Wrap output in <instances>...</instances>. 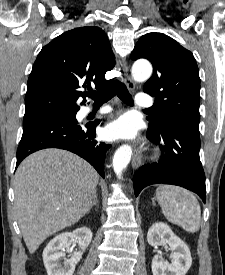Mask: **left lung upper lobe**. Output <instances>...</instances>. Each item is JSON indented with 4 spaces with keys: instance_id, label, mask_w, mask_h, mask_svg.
Instances as JSON below:
<instances>
[{
    "instance_id": "5c2ea615",
    "label": "left lung upper lobe",
    "mask_w": 225,
    "mask_h": 275,
    "mask_svg": "<svg viewBox=\"0 0 225 275\" xmlns=\"http://www.w3.org/2000/svg\"><path fill=\"white\" fill-rule=\"evenodd\" d=\"M131 58L148 59L153 76L144 92L155 97V116L147 117L150 129L160 130L171 124L199 131L200 78L193 54L162 33L142 36Z\"/></svg>"
}]
</instances>
